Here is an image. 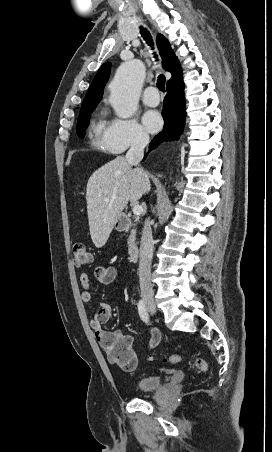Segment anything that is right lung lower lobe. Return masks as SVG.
Instances as JSON below:
<instances>
[{
    "instance_id": "obj_1",
    "label": "right lung lower lobe",
    "mask_w": 272,
    "mask_h": 452,
    "mask_svg": "<svg viewBox=\"0 0 272 452\" xmlns=\"http://www.w3.org/2000/svg\"><path fill=\"white\" fill-rule=\"evenodd\" d=\"M162 115L164 128L150 143L149 152L163 141L178 139L182 133L186 118L183 80L167 86Z\"/></svg>"
}]
</instances>
